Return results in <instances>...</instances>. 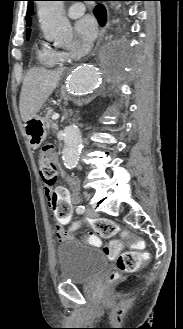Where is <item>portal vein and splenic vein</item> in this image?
I'll use <instances>...</instances> for the list:
<instances>
[{
  "instance_id": "1",
  "label": "portal vein and splenic vein",
  "mask_w": 183,
  "mask_h": 329,
  "mask_svg": "<svg viewBox=\"0 0 183 329\" xmlns=\"http://www.w3.org/2000/svg\"><path fill=\"white\" fill-rule=\"evenodd\" d=\"M59 118V114L58 113H55L53 116H52V120H57Z\"/></svg>"
}]
</instances>
